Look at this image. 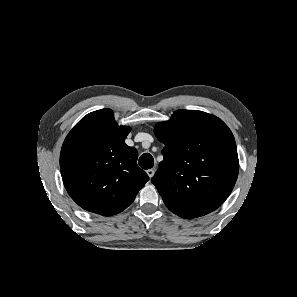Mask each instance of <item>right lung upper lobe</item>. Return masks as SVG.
<instances>
[{
    "label": "right lung upper lobe",
    "instance_id": "obj_1",
    "mask_svg": "<svg viewBox=\"0 0 297 297\" xmlns=\"http://www.w3.org/2000/svg\"><path fill=\"white\" fill-rule=\"evenodd\" d=\"M111 109L86 115L66 137L60 153L64 186L83 209L112 216L127 208L149 180L137 165L138 152L124 140Z\"/></svg>",
    "mask_w": 297,
    "mask_h": 297
}]
</instances>
